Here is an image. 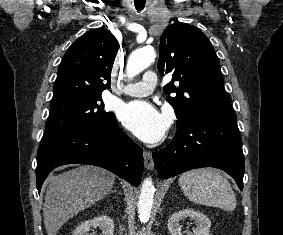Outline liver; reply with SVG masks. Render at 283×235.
Masks as SVG:
<instances>
[{
    "instance_id": "1",
    "label": "liver",
    "mask_w": 283,
    "mask_h": 235,
    "mask_svg": "<svg viewBox=\"0 0 283 235\" xmlns=\"http://www.w3.org/2000/svg\"><path fill=\"white\" fill-rule=\"evenodd\" d=\"M114 184V174L91 165L52 177L43 205L47 234L56 235L66 221L109 194Z\"/></svg>"
}]
</instances>
